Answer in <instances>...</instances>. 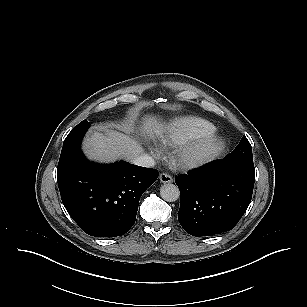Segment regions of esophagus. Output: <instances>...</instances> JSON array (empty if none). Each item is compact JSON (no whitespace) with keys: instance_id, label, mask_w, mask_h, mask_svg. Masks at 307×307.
<instances>
[{"instance_id":"1","label":"esophagus","mask_w":307,"mask_h":307,"mask_svg":"<svg viewBox=\"0 0 307 307\" xmlns=\"http://www.w3.org/2000/svg\"><path fill=\"white\" fill-rule=\"evenodd\" d=\"M159 179L162 183H172L173 182L172 177L167 173H161L159 176Z\"/></svg>"}]
</instances>
